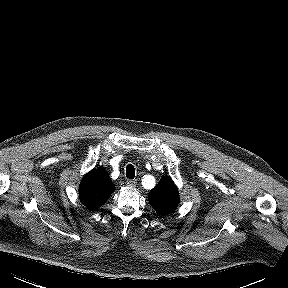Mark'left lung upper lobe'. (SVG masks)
<instances>
[{
    "label": "left lung upper lobe",
    "instance_id": "1",
    "mask_svg": "<svg viewBox=\"0 0 288 288\" xmlns=\"http://www.w3.org/2000/svg\"><path fill=\"white\" fill-rule=\"evenodd\" d=\"M151 206L161 215L172 213L178 206V190L169 176H164L149 192Z\"/></svg>",
    "mask_w": 288,
    "mask_h": 288
}]
</instances>
